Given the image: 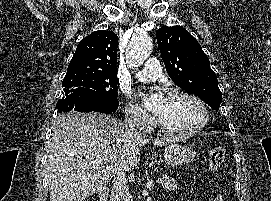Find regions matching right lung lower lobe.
Returning <instances> with one entry per match:
<instances>
[{
  "mask_svg": "<svg viewBox=\"0 0 271 201\" xmlns=\"http://www.w3.org/2000/svg\"><path fill=\"white\" fill-rule=\"evenodd\" d=\"M119 102L105 100H88L81 97H62L56 104L59 112H69L71 110L80 112H102L114 113L118 108Z\"/></svg>",
  "mask_w": 271,
  "mask_h": 201,
  "instance_id": "1",
  "label": "right lung lower lobe"
}]
</instances>
